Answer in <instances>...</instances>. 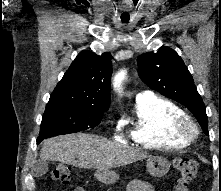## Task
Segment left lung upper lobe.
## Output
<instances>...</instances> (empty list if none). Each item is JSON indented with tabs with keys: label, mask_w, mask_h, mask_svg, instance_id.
<instances>
[{
	"label": "left lung upper lobe",
	"mask_w": 221,
	"mask_h": 191,
	"mask_svg": "<svg viewBox=\"0 0 221 191\" xmlns=\"http://www.w3.org/2000/svg\"><path fill=\"white\" fill-rule=\"evenodd\" d=\"M139 77L151 89L186 106L208 134V117L193 78L181 57L169 47L137 58Z\"/></svg>",
	"instance_id": "1"
}]
</instances>
